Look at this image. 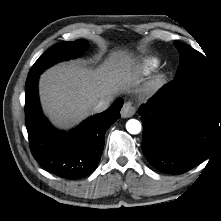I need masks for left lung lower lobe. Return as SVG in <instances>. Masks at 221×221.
Masks as SVG:
<instances>
[{
    "label": "left lung lower lobe",
    "mask_w": 221,
    "mask_h": 221,
    "mask_svg": "<svg viewBox=\"0 0 221 221\" xmlns=\"http://www.w3.org/2000/svg\"><path fill=\"white\" fill-rule=\"evenodd\" d=\"M193 106L185 126L170 117L186 103ZM142 150L166 174H183L206 159L221 141V89L198 77L174 79L139 108Z\"/></svg>",
    "instance_id": "1"
}]
</instances>
